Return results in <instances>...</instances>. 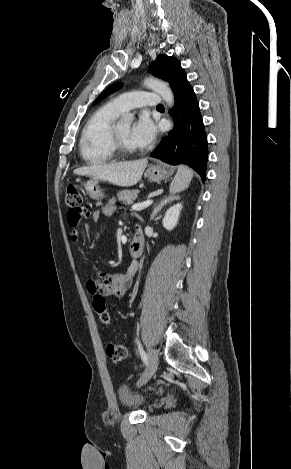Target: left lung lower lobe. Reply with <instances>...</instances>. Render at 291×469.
I'll use <instances>...</instances> for the list:
<instances>
[{"label":"left lung lower lobe","mask_w":291,"mask_h":469,"mask_svg":"<svg viewBox=\"0 0 291 469\" xmlns=\"http://www.w3.org/2000/svg\"><path fill=\"white\" fill-rule=\"evenodd\" d=\"M175 106L170 110L174 128L162 139L151 156L171 165L186 164L206 178L208 142L195 92L186 74L172 88Z\"/></svg>","instance_id":"obj_1"}]
</instances>
